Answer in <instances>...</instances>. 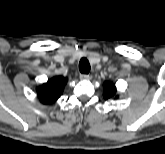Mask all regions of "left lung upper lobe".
I'll return each mask as SVG.
<instances>
[{
  "instance_id": "1",
  "label": "left lung upper lobe",
  "mask_w": 165,
  "mask_h": 154,
  "mask_svg": "<svg viewBox=\"0 0 165 154\" xmlns=\"http://www.w3.org/2000/svg\"><path fill=\"white\" fill-rule=\"evenodd\" d=\"M114 97L117 98L115 85L111 82H105L104 83V98L110 99Z\"/></svg>"
}]
</instances>
